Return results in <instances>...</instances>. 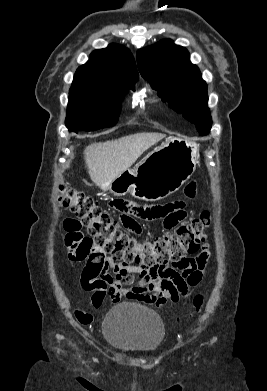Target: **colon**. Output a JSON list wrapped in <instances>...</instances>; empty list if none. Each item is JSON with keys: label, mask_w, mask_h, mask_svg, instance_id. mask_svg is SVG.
I'll return each instance as SVG.
<instances>
[{"label": "colon", "mask_w": 267, "mask_h": 391, "mask_svg": "<svg viewBox=\"0 0 267 391\" xmlns=\"http://www.w3.org/2000/svg\"><path fill=\"white\" fill-rule=\"evenodd\" d=\"M57 200L87 228L88 235L74 239L83 254H108L125 266H141L149 272H157L170 264L179 265L187 254L203 249L211 221L210 213L205 211L174 233L138 240L121 231L101 207L80 191L60 185ZM202 303L203 297L197 295L195 308L199 309Z\"/></svg>", "instance_id": "obj_1"}]
</instances>
